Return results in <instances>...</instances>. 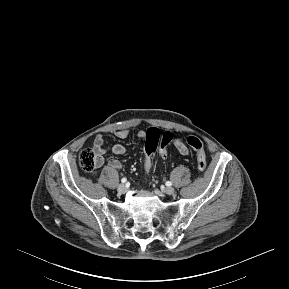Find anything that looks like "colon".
<instances>
[{"mask_svg":"<svg viewBox=\"0 0 289 289\" xmlns=\"http://www.w3.org/2000/svg\"><path fill=\"white\" fill-rule=\"evenodd\" d=\"M171 132H161L157 128H150L146 131L143 139V157L142 163L145 172H149L152 167L153 155L158 152L162 159H165L168 154V146L173 141ZM187 144L195 150L197 154V166L200 171H204L207 167L206 155L203 142L195 136L187 138ZM98 156L95 151L87 148L79 154V164L86 172H92L98 167Z\"/></svg>","mask_w":289,"mask_h":289,"instance_id":"5ec220e1","label":"colon"}]
</instances>
